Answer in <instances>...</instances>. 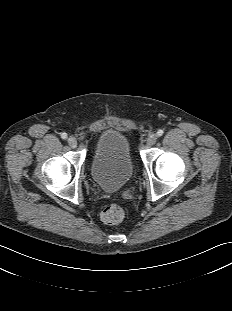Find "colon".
Segmentation results:
<instances>
[{
  "instance_id": "colon-1",
  "label": "colon",
  "mask_w": 232,
  "mask_h": 311,
  "mask_svg": "<svg viewBox=\"0 0 232 311\" xmlns=\"http://www.w3.org/2000/svg\"><path fill=\"white\" fill-rule=\"evenodd\" d=\"M124 218V210L121 206L112 204L106 207L101 213V219L109 225L120 223Z\"/></svg>"
}]
</instances>
